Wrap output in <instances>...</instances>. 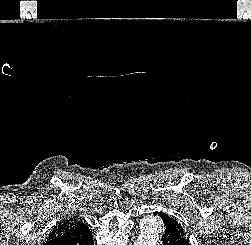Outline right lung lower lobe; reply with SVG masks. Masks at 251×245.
<instances>
[{"label": "right lung lower lobe", "instance_id": "obj_1", "mask_svg": "<svg viewBox=\"0 0 251 245\" xmlns=\"http://www.w3.org/2000/svg\"><path fill=\"white\" fill-rule=\"evenodd\" d=\"M44 245H93V237L87 227L80 232L48 237Z\"/></svg>", "mask_w": 251, "mask_h": 245}]
</instances>
